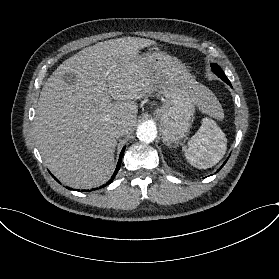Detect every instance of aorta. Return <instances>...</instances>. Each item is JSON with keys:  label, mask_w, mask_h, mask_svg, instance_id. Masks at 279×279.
Returning a JSON list of instances; mask_svg holds the SVG:
<instances>
[{"label": "aorta", "mask_w": 279, "mask_h": 279, "mask_svg": "<svg viewBox=\"0 0 279 279\" xmlns=\"http://www.w3.org/2000/svg\"><path fill=\"white\" fill-rule=\"evenodd\" d=\"M136 134L140 141L150 143L157 137V128L151 121L144 122L138 126Z\"/></svg>", "instance_id": "762f6f07"}]
</instances>
